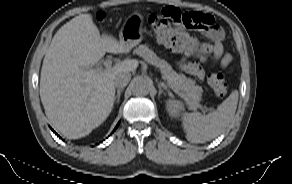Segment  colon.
<instances>
[{
  "label": "colon",
  "instance_id": "obj_1",
  "mask_svg": "<svg viewBox=\"0 0 292 184\" xmlns=\"http://www.w3.org/2000/svg\"><path fill=\"white\" fill-rule=\"evenodd\" d=\"M149 24L156 40L173 51L196 54L203 59L209 58L214 52L213 46L199 42L180 29L211 26L212 22L206 14L167 7L161 14L150 15ZM208 82L217 96L226 95L227 85L222 73L210 74Z\"/></svg>",
  "mask_w": 292,
  "mask_h": 184
}]
</instances>
